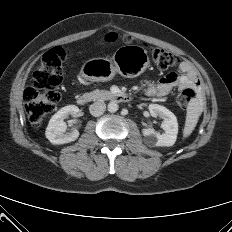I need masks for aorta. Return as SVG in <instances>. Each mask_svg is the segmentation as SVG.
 I'll return each mask as SVG.
<instances>
[{
  "label": "aorta",
  "instance_id": "762f6f07",
  "mask_svg": "<svg viewBox=\"0 0 232 232\" xmlns=\"http://www.w3.org/2000/svg\"><path fill=\"white\" fill-rule=\"evenodd\" d=\"M118 108H119V106H118V104L115 101H111L108 104V111L110 113H115L118 110Z\"/></svg>",
  "mask_w": 232,
  "mask_h": 232
}]
</instances>
